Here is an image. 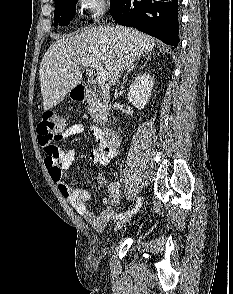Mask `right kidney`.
I'll return each mask as SVG.
<instances>
[{
	"mask_svg": "<svg viewBox=\"0 0 233 294\" xmlns=\"http://www.w3.org/2000/svg\"><path fill=\"white\" fill-rule=\"evenodd\" d=\"M153 86V78L150 75H138L129 86L128 100L137 109H143L150 98Z\"/></svg>",
	"mask_w": 233,
	"mask_h": 294,
	"instance_id": "1",
	"label": "right kidney"
}]
</instances>
